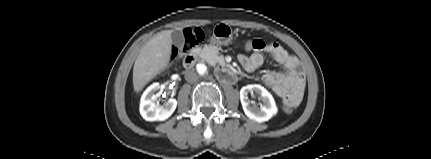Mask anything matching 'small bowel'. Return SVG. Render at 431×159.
I'll return each instance as SVG.
<instances>
[{
	"mask_svg": "<svg viewBox=\"0 0 431 159\" xmlns=\"http://www.w3.org/2000/svg\"><path fill=\"white\" fill-rule=\"evenodd\" d=\"M254 44L250 55L241 54L238 58L243 68L252 72L264 62V53H268L275 61L281 64L285 71L267 72L263 76L264 83L272 92L283 100V106L295 108L302 100L305 78L299 68V61L287 50L275 42H265L262 39H253Z\"/></svg>",
	"mask_w": 431,
	"mask_h": 159,
	"instance_id": "1",
	"label": "small bowel"
}]
</instances>
